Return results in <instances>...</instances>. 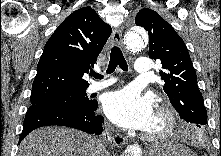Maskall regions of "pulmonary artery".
<instances>
[{
	"label": "pulmonary artery",
	"instance_id": "obj_1",
	"mask_svg": "<svg viewBox=\"0 0 221 156\" xmlns=\"http://www.w3.org/2000/svg\"><path fill=\"white\" fill-rule=\"evenodd\" d=\"M151 65L148 58L140 57L135 61L134 70L139 75H146L150 72ZM115 82V79L108 78L103 81L93 82L90 84L88 90L89 92H96L104 88L109 87Z\"/></svg>",
	"mask_w": 221,
	"mask_h": 156
}]
</instances>
